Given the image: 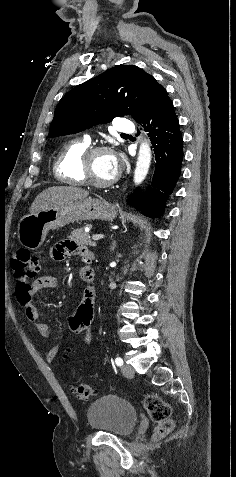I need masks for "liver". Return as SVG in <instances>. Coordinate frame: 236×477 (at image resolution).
<instances>
[{
  "label": "liver",
  "instance_id": "obj_1",
  "mask_svg": "<svg viewBox=\"0 0 236 477\" xmlns=\"http://www.w3.org/2000/svg\"><path fill=\"white\" fill-rule=\"evenodd\" d=\"M89 192L73 186H54L41 192L30 207V213L35 214L58 204L87 198Z\"/></svg>",
  "mask_w": 236,
  "mask_h": 477
}]
</instances>
